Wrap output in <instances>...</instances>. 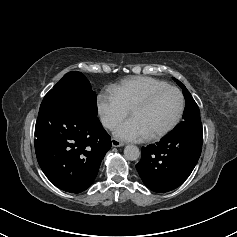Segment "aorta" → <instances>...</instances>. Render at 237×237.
Wrapping results in <instances>:
<instances>
[{
	"instance_id": "obj_1",
	"label": "aorta",
	"mask_w": 237,
	"mask_h": 237,
	"mask_svg": "<svg viewBox=\"0 0 237 237\" xmlns=\"http://www.w3.org/2000/svg\"><path fill=\"white\" fill-rule=\"evenodd\" d=\"M124 156L127 160L135 161L140 156L139 148L135 145H127L124 148Z\"/></svg>"
}]
</instances>
